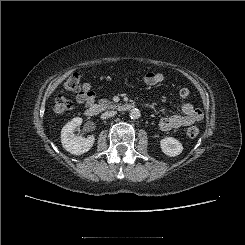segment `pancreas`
<instances>
[{
	"instance_id": "cf45deb5",
	"label": "pancreas",
	"mask_w": 245,
	"mask_h": 245,
	"mask_svg": "<svg viewBox=\"0 0 245 245\" xmlns=\"http://www.w3.org/2000/svg\"><path fill=\"white\" fill-rule=\"evenodd\" d=\"M99 106L102 107V109H107V108L114 109V108H116V105L107 99H101L99 101Z\"/></svg>"
}]
</instances>
